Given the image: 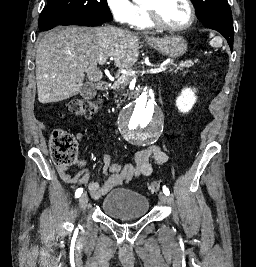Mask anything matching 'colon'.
I'll list each match as a JSON object with an SVG mask.
<instances>
[{"mask_svg": "<svg viewBox=\"0 0 256 267\" xmlns=\"http://www.w3.org/2000/svg\"><path fill=\"white\" fill-rule=\"evenodd\" d=\"M98 108L93 98L73 99L68 105L69 112L75 117H84L93 114ZM78 144L75 138L61 130L53 133L51 138V149L55 162L61 165L71 166L77 160L76 150ZM162 184L154 181L148 184L152 193L161 191Z\"/></svg>", "mask_w": 256, "mask_h": 267, "instance_id": "1", "label": "colon"}]
</instances>
